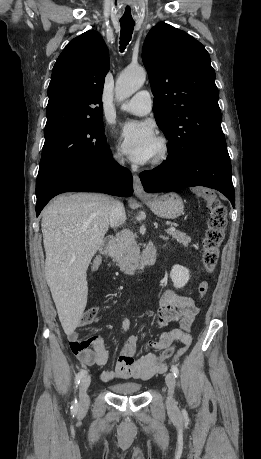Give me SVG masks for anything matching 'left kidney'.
Instances as JSON below:
<instances>
[{
    "label": "left kidney",
    "mask_w": 261,
    "mask_h": 459,
    "mask_svg": "<svg viewBox=\"0 0 261 459\" xmlns=\"http://www.w3.org/2000/svg\"><path fill=\"white\" fill-rule=\"evenodd\" d=\"M170 278L175 288H182L190 279L189 270L183 266L174 265L170 272Z\"/></svg>",
    "instance_id": "5707ae66"
}]
</instances>
